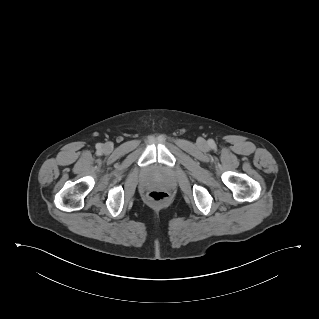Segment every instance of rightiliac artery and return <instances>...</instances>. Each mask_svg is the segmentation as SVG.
<instances>
[{"label": "right iliac artery", "mask_w": 319, "mask_h": 319, "mask_svg": "<svg viewBox=\"0 0 319 319\" xmlns=\"http://www.w3.org/2000/svg\"><path fill=\"white\" fill-rule=\"evenodd\" d=\"M96 147H97V149H101V145L100 144H98Z\"/></svg>", "instance_id": "1"}]
</instances>
